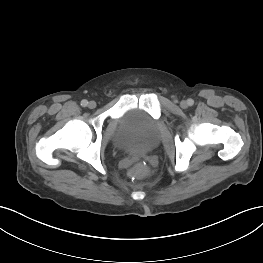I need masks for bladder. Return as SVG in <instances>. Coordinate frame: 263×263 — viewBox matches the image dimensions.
Returning a JSON list of instances; mask_svg holds the SVG:
<instances>
[{"mask_svg":"<svg viewBox=\"0 0 263 263\" xmlns=\"http://www.w3.org/2000/svg\"><path fill=\"white\" fill-rule=\"evenodd\" d=\"M113 142L125 151L148 152L159 142L157 122L143 110L130 109L121 116Z\"/></svg>","mask_w":263,"mask_h":263,"instance_id":"1","label":"bladder"}]
</instances>
